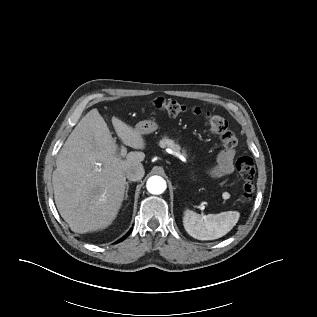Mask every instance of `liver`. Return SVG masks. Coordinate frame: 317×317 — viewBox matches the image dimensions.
Returning a JSON list of instances; mask_svg holds the SVG:
<instances>
[{
  "label": "liver",
  "instance_id": "1",
  "mask_svg": "<svg viewBox=\"0 0 317 317\" xmlns=\"http://www.w3.org/2000/svg\"><path fill=\"white\" fill-rule=\"evenodd\" d=\"M112 124L125 145L137 150L145 148L138 130L115 116ZM117 149L116 140L97 109L80 120L61 148L52 175L54 198L61 217L73 232L105 229L116 218L124 199L126 173L145 159L143 152L135 151L123 160Z\"/></svg>",
  "mask_w": 317,
  "mask_h": 317
}]
</instances>
